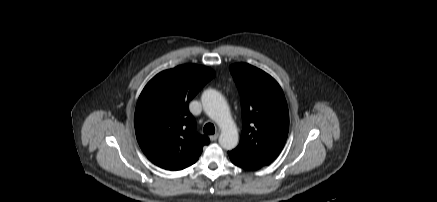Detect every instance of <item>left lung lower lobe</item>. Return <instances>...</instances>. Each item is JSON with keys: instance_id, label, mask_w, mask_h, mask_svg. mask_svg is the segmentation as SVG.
<instances>
[{"instance_id": "1", "label": "left lung lower lobe", "mask_w": 437, "mask_h": 202, "mask_svg": "<svg viewBox=\"0 0 437 202\" xmlns=\"http://www.w3.org/2000/svg\"><path fill=\"white\" fill-rule=\"evenodd\" d=\"M229 157L232 161V163H234L235 165L244 168V169H248V170H257L259 169V167H256L250 163H248L247 161L241 159L240 157L228 152Z\"/></svg>"}]
</instances>
